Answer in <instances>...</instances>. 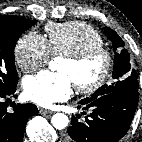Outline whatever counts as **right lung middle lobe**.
Listing matches in <instances>:
<instances>
[{
    "mask_svg": "<svg viewBox=\"0 0 142 142\" xmlns=\"http://www.w3.org/2000/svg\"><path fill=\"white\" fill-rule=\"evenodd\" d=\"M35 23L19 16H0V91L17 84L14 48L21 34Z\"/></svg>",
    "mask_w": 142,
    "mask_h": 142,
    "instance_id": "1",
    "label": "right lung middle lobe"
}]
</instances>
